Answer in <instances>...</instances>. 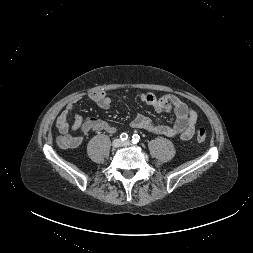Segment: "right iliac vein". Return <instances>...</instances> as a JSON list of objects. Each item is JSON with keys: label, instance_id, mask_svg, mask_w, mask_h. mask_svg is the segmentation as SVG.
<instances>
[{"label": "right iliac vein", "instance_id": "right-iliac-vein-1", "mask_svg": "<svg viewBox=\"0 0 253 253\" xmlns=\"http://www.w3.org/2000/svg\"><path fill=\"white\" fill-rule=\"evenodd\" d=\"M121 145H122V142H121L120 139H115V140H113V142H112V147H113V148H118V147H120Z\"/></svg>", "mask_w": 253, "mask_h": 253}]
</instances>
